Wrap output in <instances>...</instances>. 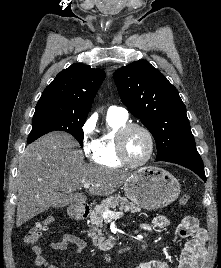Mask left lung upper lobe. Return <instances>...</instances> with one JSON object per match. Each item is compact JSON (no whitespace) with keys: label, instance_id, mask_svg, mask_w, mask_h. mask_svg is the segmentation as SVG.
Instances as JSON below:
<instances>
[{"label":"left lung upper lobe","instance_id":"5c2ea615","mask_svg":"<svg viewBox=\"0 0 221 268\" xmlns=\"http://www.w3.org/2000/svg\"><path fill=\"white\" fill-rule=\"evenodd\" d=\"M114 81L130 113L155 138L156 161L196 147L186 107L177 89L148 61L139 60L116 70Z\"/></svg>","mask_w":221,"mask_h":268}]
</instances>
